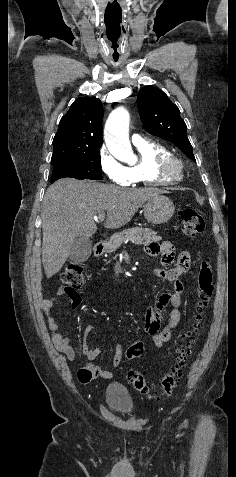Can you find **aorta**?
I'll list each match as a JSON object with an SVG mask.
<instances>
[{"mask_svg": "<svg viewBox=\"0 0 236 477\" xmlns=\"http://www.w3.org/2000/svg\"><path fill=\"white\" fill-rule=\"evenodd\" d=\"M130 115L128 111L119 107L108 117L104 138L109 150L118 158L128 160L133 157V151L129 140Z\"/></svg>", "mask_w": 236, "mask_h": 477, "instance_id": "1", "label": "aorta"}]
</instances>
